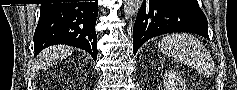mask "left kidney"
<instances>
[{"label": "left kidney", "instance_id": "obj_1", "mask_svg": "<svg viewBox=\"0 0 237 90\" xmlns=\"http://www.w3.org/2000/svg\"><path fill=\"white\" fill-rule=\"evenodd\" d=\"M163 80L165 90H185L186 88L185 82L177 72H165Z\"/></svg>", "mask_w": 237, "mask_h": 90}]
</instances>
